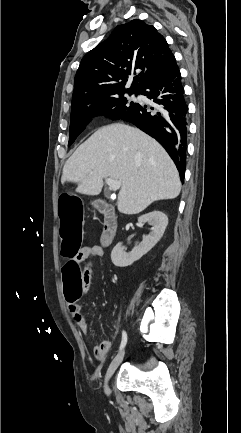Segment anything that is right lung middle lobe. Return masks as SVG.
<instances>
[{"label": "right lung middle lobe", "instance_id": "obj_1", "mask_svg": "<svg viewBox=\"0 0 241 433\" xmlns=\"http://www.w3.org/2000/svg\"><path fill=\"white\" fill-rule=\"evenodd\" d=\"M139 94L138 91H123L112 96L80 101L72 105L70 137L68 146H70L78 135L84 130L85 125L93 115L104 114L112 119H122L134 110L137 103L129 101L125 93Z\"/></svg>", "mask_w": 241, "mask_h": 433}]
</instances>
